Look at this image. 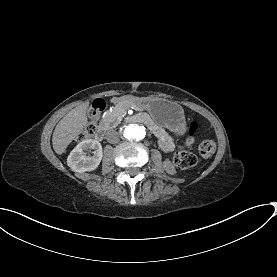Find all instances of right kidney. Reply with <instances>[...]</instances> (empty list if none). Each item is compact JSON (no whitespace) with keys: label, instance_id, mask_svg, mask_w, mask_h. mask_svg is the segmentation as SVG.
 <instances>
[{"label":"right kidney","instance_id":"obj_1","mask_svg":"<svg viewBox=\"0 0 277 277\" xmlns=\"http://www.w3.org/2000/svg\"><path fill=\"white\" fill-rule=\"evenodd\" d=\"M93 150L92 156H87V149ZM103 157L101 144L92 139H87L79 143L69 154L67 165L71 171L77 173L91 172L98 168Z\"/></svg>","mask_w":277,"mask_h":277}]
</instances>
